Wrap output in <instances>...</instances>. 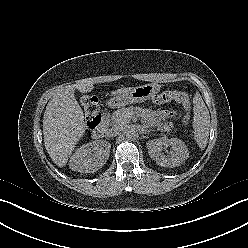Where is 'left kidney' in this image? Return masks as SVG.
<instances>
[{
	"mask_svg": "<svg viewBox=\"0 0 248 248\" xmlns=\"http://www.w3.org/2000/svg\"><path fill=\"white\" fill-rule=\"evenodd\" d=\"M147 149L150 157L162 167L180 166L189 157V152L184 142L178 138H158L147 142ZM163 146H170L174 152L169 157H165L161 150Z\"/></svg>",
	"mask_w": 248,
	"mask_h": 248,
	"instance_id": "5707ae66",
	"label": "left kidney"
}]
</instances>
